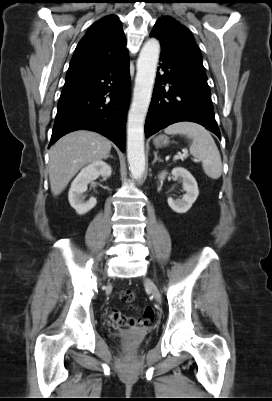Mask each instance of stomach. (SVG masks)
<instances>
[{
    "label": "stomach",
    "instance_id": "0dacf381",
    "mask_svg": "<svg viewBox=\"0 0 272 401\" xmlns=\"http://www.w3.org/2000/svg\"><path fill=\"white\" fill-rule=\"evenodd\" d=\"M153 143L156 147H163L168 145L169 138L165 135H158L154 138Z\"/></svg>",
    "mask_w": 272,
    "mask_h": 401
}]
</instances>
